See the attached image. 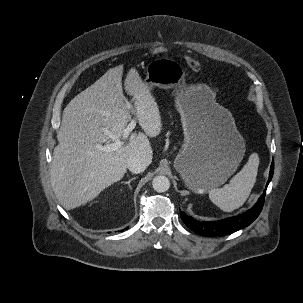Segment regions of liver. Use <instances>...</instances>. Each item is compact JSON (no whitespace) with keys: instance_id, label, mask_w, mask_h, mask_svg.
I'll return each mask as SVG.
<instances>
[{"instance_id":"obj_1","label":"liver","mask_w":303,"mask_h":303,"mask_svg":"<svg viewBox=\"0 0 303 303\" xmlns=\"http://www.w3.org/2000/svg\"><path fill=\"white\" fill-rule=\"evenodd\" d=\"M122 73L123 65L108 70L75 96L63 111L50 179L54 194L66 210L87 203L121 180L131 157L141 156L149 164L152 161L147 136L156 137L161 132L158 105L137 70L131 68L125 89L133 97L136 119L145 134L132 133L123 139L131 116L123 94ZM114 139L124 140L116 151L104 152L96 147Z\"/></svg>"}]
</instances>
